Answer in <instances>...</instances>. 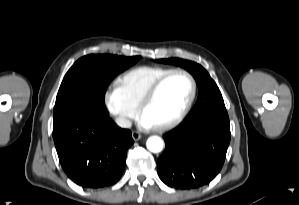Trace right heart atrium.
<instances>
[{
  "instance_id": "obj_1",
  "label": "right heart atrium",
  "mask_w": 299,
  "mask_h": 205,
  "mask_svg": "<svg viewBox=\"0 0 299 205\" xmlns=\"http://www.w3.org/2000/svg\"><path fill=\"white\" fill-rule=\"evenodd\" d=\"M103 103L108 113L120 127H128L137 115V109L125 100L117 86L106 90L103 96Z\"/></svg>"
}]
</instances>
